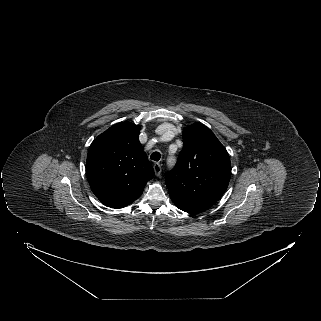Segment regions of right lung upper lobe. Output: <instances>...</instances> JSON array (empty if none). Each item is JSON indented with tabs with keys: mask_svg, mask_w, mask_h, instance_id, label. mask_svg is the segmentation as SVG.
<instances>
[{
	"mask_svg": "<svg viewBox=\"0 0 321 321\" xmlns=\"http://www.w3.org/2000/svg\"><path fill=\"white\" fill-rule=\"evenodd\" d=\"M140 126H111L90 145L86 174L95 196L106 206L123 208L140 197L154 170L139 142Z\"/></svg>",
	"mask_w": 321,
	"mask_h": 321,
	"instance_id": "right-lung-upper-lobe-1",
	"label": "right lung upper lobe"
}]
</instances>
